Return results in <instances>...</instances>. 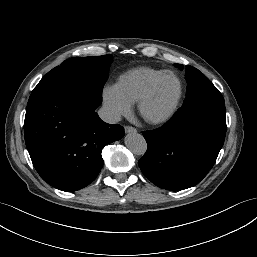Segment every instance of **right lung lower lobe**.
<instances>
[{"label":"right lung lower lobe","mask_w":257,"mask_h":257,"mask_svg":"<svg viewBox=\"0 0 257 257\" xmlns=\"http://www.w3.org/2000/svg\"><path fill=\"white\" fill-rule=\"evenodd\" d=\"M101 102L77 84L30 95L25 143L35 169L51 186L70 192L90 184L103 166L102 148L124 136L122 126L99 118L95 109Z\"/></svg>","instance_id":"right-lung-lower-lobe-1"}]
</instances>
